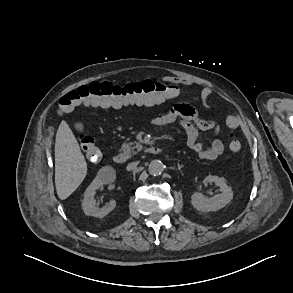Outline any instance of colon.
<instances>
[{
	"mask_svg": "<svg viewBox=\"0 0 293 293\" xmlns=\"http://www.w3.org/2000/svg\"><path fill=\"white\" fill-rule=\"evenodd\" d=\"M179 94L178 87L152 80L125 85H115L110 82H91L62 96L57 106V112L65 114L80 106L119 108L144 100L163 101L175 98ZM226 126L230 130L236 129L239 126L238 118L229 114L226 118ZM79 144L90 162L96 163L101 159V151L91 136L84 133L80 134ZM228 148L232 153H237L240 150V143L232 140Z\"/></svg>",
	"mask_w": 293,
	"mask_h": 293,
	"instance_id": "colon-1",
	"label": "colon"
}]
</instances>
